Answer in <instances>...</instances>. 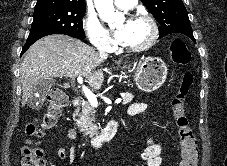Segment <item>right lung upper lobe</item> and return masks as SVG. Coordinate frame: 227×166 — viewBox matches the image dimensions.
<instances>
[{
  "label": "right lung upper lobe",
  "instance_id": "right-lung-upper-lobe-1",
  "mask_svg": "<svg viewBox=\"0 0 227 166\" xmlns=\"http://www.w3.org/2000/svg\"><path fill=\"white\" fill-rule=\"evenodd\" d=\"M36 5H74L86 7L85 0H37Z\"/></svg>",
  "mask_w": 227,
  "mask_h": 166
}]
</instances>
